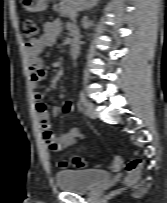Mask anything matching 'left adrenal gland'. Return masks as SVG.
<instances>
[{
  "label": "left adrenal gland",
  "mask_w": 167,
  "mask_h": 203,
  "mask_svg": "<svg viewBox=\"0 0 167 203\" xmlns=\"http://www.w3.org/2000/svg\"><path fill=\"white\" fill-rule=\"evenodd\" d=\"M98 2H99V0H88L85 3L84 10L87 11V10L92 9L94 6H96L98 4Z\"/></svg>",
  "instance_id": "obj_1"
}]
</instances>
